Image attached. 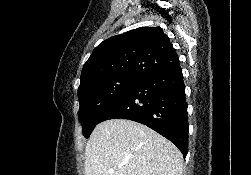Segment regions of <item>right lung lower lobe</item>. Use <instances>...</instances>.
Here are the masks:
<instances>
[{
	"mask_svg": "<svg viewBox=\"0 0 251 175\" xmlns=\"http://www.w3.org/2000/svg\"><path fill=\"white\" fill-rule=\"evenodd\" d=\"M122 118L144 124L188 152L185 86L180 64L142 78L100 118Z\"/></svg>",
	"mask_w": 251,
	"mask_h": 175,
	"instance_id": "right-lung-lower-lobe-1",
	"label": "right lung lower lobe"
}]
</instances>
